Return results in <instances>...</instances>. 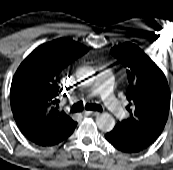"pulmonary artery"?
<instances>
[{"mask_svg": "<svg viewBox=\"0 0 173 170\" xmlns=\"http://www.w3.org/2000/svg\"><path fill=\"white\" fill-rule=\"evenodd\" d=\"M113 80L114 77L111 71L102 70L97 75L92 88L82 95L85 97L99 95L110 113L116 118H122L124 116V110L119 101L112 96Z\"/></svg>", "mask_w": 173, "mask_h": 170, "instance_id": "obj_1", "label": "pulmonary artery"}]
</instances>
